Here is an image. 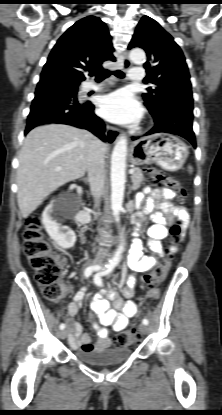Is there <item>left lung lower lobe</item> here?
<instances>
[{
  "label": "left lung lower lobe",
  "instance_id": "obj_1",
  "mask_svg": "<svg viewBox=\"0 0 222 415\" xmlns=\"http://www.w3.org/2000/svg\"><path fill=\"white\" fill-rule=\"evenodd\" d=\"M179 99L181 103V108L176 115H166L163 111H160V114L152 112V117L154 118L155 126L148 131L145 135H150L154 133H170L179 135L196 147L195 135L192 129L193 121V98L191 87L189 86H177L175 90L170 91L163 95L161 99V108L168 107V105L174 100ZM136 139V138H133Z\"/></svg>",
  "mask_w": 222,
  "mask_h": 415
}]
</instances>
